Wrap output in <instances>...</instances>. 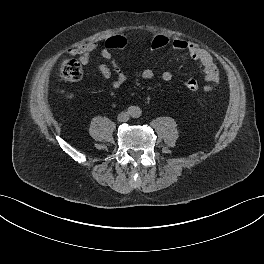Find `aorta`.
I'll use <instances>...</instances> for the list:
<instances>
[{
  "label": "aorta",
  "instance_id": "1",
  "mask_svg": "<svg viewBox=\"0 0 264 264\" xmlns=\"http://www.w3.org/2000/svg\"><path fill=\"white\" fill-rule=\"evenodd\" d=\"M141 109L139 107H132L131 109V116L134 117V118H137V117H140L141 116Z\"/></svg>",
  "mask_w": 264,
  "mask_h": 264
}]
</instances>
